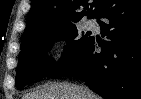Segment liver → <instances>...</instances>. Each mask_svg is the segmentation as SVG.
<instances>
[{"mask_svg": "<svg viewBox=\"0 0 141 99\" xmlns=\"http://www.w3.org/2000/svg\"><path fill=\"white\" fill-rule=\"evenodd\" d=\"M89 90V89H88ZM90 97L81 89V86L71 83L46 84L38 90L29 93L23 99H101L90 91Z\"/></svg>", "mask_w": 141, "mask_h": 99, "instance_id": "6515ba94", "label": "liver"}]
</instances>
